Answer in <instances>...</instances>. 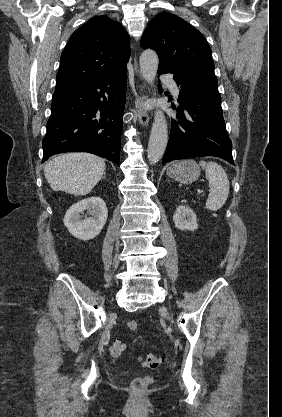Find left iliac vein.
<instances>
[{"label":"left iliac vein","mask_w":282,"mask_h":417,"mask_svg":"<svg viewBox=\"0 0 282 417\" xmlns=\"http://www.w3.org/2000/svg\"><path fill=\"white\" fill-rule=\"evenodd\" d=\"M160 312L165 315L167 318H169V313L165 307L160 308Z\"/></svg>","instance_id":"1"}]
</instances>
